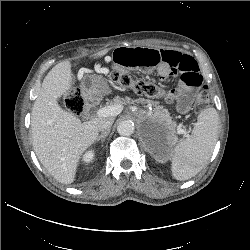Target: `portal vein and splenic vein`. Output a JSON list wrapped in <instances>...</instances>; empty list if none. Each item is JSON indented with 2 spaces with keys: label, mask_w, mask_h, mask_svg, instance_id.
Segmentation results:
<instances>
[{
  "label": "portal vein and splenic vein",
  "mask_w": 250,
  "mask_h": 250,
  "mask_svg": "<svg viewBox=\"0 0 250 250\" xmlns=\"http://www.w3.org/2000/svg\"><path fill=\"white\" fill-rule=\"evenodd\" d=\"M123 110V106L121 104H114L110 106H105L98 109L95 113L97 117H110V116H117ZM177 133L184 134L186 137L189 135L188 132L183 129L182 123L177 126Z\"/></svg>",
  "instance_id": "18ae733b"
}]
</instances>
